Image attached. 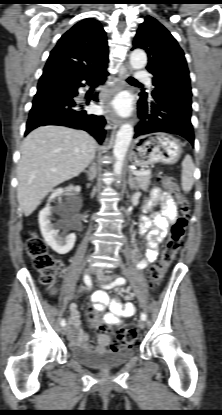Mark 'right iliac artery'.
Here are the masks:
<instances>
[{
	"label": "right iliac artery",
	"instance_id": "1",
	"mask_svg": "<svg viewBox=\"0 0 222 415\" xmlns=\"http://www.w3.org/2000/svg\"><path fill=\"white\" fill-rule=\"evenodd\" d=\"M84 282H85V284L88 286V287H91V285H92V282H91V278H90V276H88V275H85L84 276ZM61 326H65L66 325V321L63 319V320H61Z\"/></svg>",
	"mask_w": 222,
	"mask_h": 415
}]
</instances>
